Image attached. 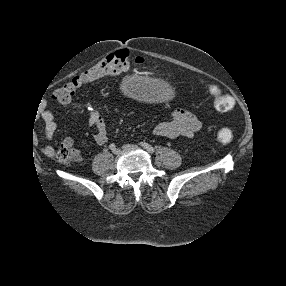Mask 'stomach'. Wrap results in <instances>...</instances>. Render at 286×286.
Instances as JSON below:
<instances>
[{
  "instance_id": "obj_1",
  "label": "stomach",
  "mask_w": 286,
  "mask_h": 286,
  "mask_svg": "<svg viewBox=\"0 0 286 286\" xmlns=\"http://www.w3.org/2000/svg\"><path fill=\"white\" fill-rule=\"evenodd\" d=\"M128 96L136 101L146 100L148 103L158 105L163 103L168 95L166 85L158 80L149 81L142 76L131 78L126 86Z\"/></svg>"
}]
</instances>
